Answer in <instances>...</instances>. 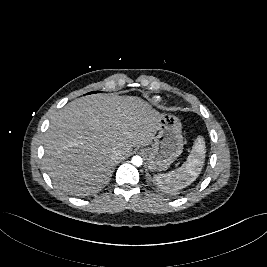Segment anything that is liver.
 Returning a JSON list of instances; mask_svg holds the SVG:
<instances>
[{
  "mask_svg": "<svg viewBox=\"0 0 267 267\" xmlns=\"http://www.w3.org/2000/svg\"><path fill=\"white\" fill-rule=\"evenodd\" d=\"M158 112L138 97L95 94L78 98L52 118L44 138V167L64 192L87 196L108 182L114 164L132 147L147 146ZM114 150L121 151L112 159Z\"/></svg>",
  "mask_w": 267,
  "mask_h": 267,
  "instance_id": "obj_1",
  "label": "liver"
}]
</instances>
